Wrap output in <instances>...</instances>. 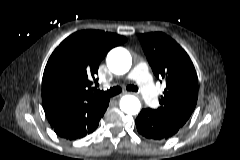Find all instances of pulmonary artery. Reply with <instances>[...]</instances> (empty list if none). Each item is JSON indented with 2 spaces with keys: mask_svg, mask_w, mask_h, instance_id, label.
<instances>
[{
  "mask_svg": "<svg viewBox=\"0 0 240 160\" xmlns=\"http://www.w3.org/2000/svg\"><path fill=\"white\" fill-rule=\"evenodd\" d=\"M128 80L137 82L143 99L151 107H156L158 104V92L149 73L148 65L145 62L137 63L127 76Z\"/></svg>",
  "mask_w": 240,
  "mask_h": 160,
  "instance_id": "e3ab8cb5",
  "label": "pulmonary artery"
}]
</instances>
